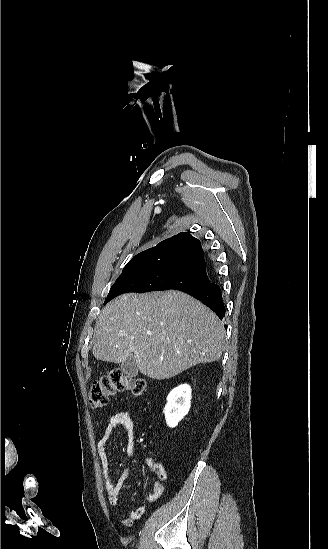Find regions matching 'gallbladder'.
I'll use <instances>...</instances> for the list:
<instances>
[{
	"label": "gallbladder",
	"instance_id": "1",
	"mask_svg": "<svg viewBox=\"0 0 328 549\" xmlns=\"http://www.w3.org/2000/svg\"><path fill=\"white\" fill-rule=\"evenodd\" d=\"M120 367L121 371H123L125 375H128V377H136V375H138L137 361L135 355H132V353H130L128 359H126L124 363H121Z\"/></svg>",
	"mask_w": 328,
	"mask_h": 549
}]
</instances>
